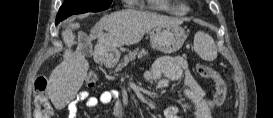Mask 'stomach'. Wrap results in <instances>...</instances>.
<instances>
[{"label":"stomach","mask_w":273,"mask_h":118,"mask_svg":"<svg viewBox=\"0 0 273 118\" xmlns=\"http://www.w3.org/2000/svg\"><path fill=\"white\" fill-rule=\"evenodd\" d=\"M187 38L185 30L180 25H159L152 28L150 42L153 48L170 54L179 50ZM118 61V55L113 54L105 58V65L113 67Z\"/></svg>","instance_id":"0dacf381"}]
</instances>
